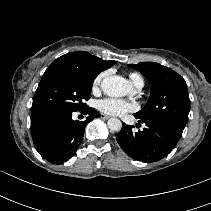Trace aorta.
Returning <instances> with one entry per match:
<instances>
[{"mask_svg":"<svg viewBox=\"0 0 211 211\" xmlns=\"http://www.w3.org/2000/svg\"><path fill=\"white\" fill-rule=\"evenodd\" d=\"M101 89L110 97H122L128 93L130 84L125 78L114 75L103 79ZM108 127L112 131H119L122 123L117 118H110L108 120Z\"/></svg>","mask_w":211,"mask_h":211,"instance_id":"obj_1","label":"aorta"}]
</instances>
